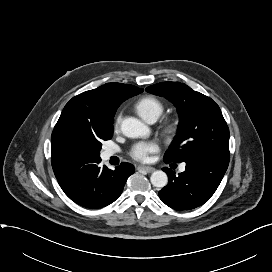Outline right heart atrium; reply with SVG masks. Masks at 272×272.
<instances>
[{"label": "right heart atrium", "instance_id": "1", "mask_svg": "<svg viewBox=\"0 0 272 272\" xmlns=\"http://www.w3.org/2000/svg\"><path fill=\"white\" fill-rule=\"evenodd\" d=\"M120 121H121V116H118L115 120V123H114L115 129H117L119 127Z\"/></svg>", "mask_w": 272, "mask_h": 272}]
</instances>
